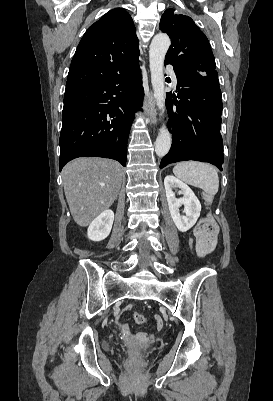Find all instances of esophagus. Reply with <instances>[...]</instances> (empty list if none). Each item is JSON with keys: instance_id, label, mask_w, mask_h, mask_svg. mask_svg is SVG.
Wrapping results in <instances>:
<instances>
[{"instance_id": "esophagus-1", "label": "esophagus", "mask_w": 273, "mask_h": 401, "mask_svg": "<svg viewBox=\"0 0 273 401\" xmlns=\"http://www.w3.org/2000/svg\"><path fill=\"white\" fill-rule=\"evenodd\" d=\"M144 108L151 124H156L158 121L157 110L152 92H148L144 100Z\"/></svg>"}]
</instances>
